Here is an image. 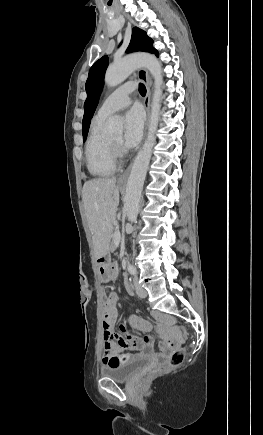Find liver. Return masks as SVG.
Segmentation results:
<instances>
[{"instance_id":"1","label":"liver","mask_w":263,"mask_h":435,"mask_svg":"<svg viewBox=\"0 0 263 435\" xmlns=\"http://www.w3.org/2000/svg\"><path fill=\"white\" fill-rule=\"evenodd\" d=\"M82 199L92 234L94 253L98 258L108 250L119 205V188L116 179L98 178L85 182Z\"/></svg>"}]
</instances>
